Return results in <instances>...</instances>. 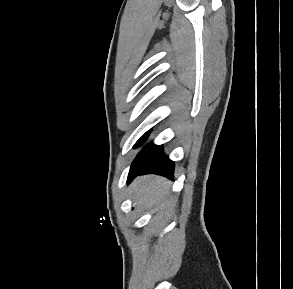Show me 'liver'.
Segmentation results:
<instances>
[{"mask_svg":"<svg viewBox=\"0 0 293 289\" xmlns=\"http://www.w3.org/2000/svg\"><path fill=\"white\" fill-rule=\"evenodd\" d=\"M134 205L140 209L151 211L164 210L173 207L176 200L169 194V183L160 176L144 175L132 184Z\"/></svg>","mask_w":293,"mask_h":289,"instance_id":"liver-1","label":"liver"}]
</instances>
